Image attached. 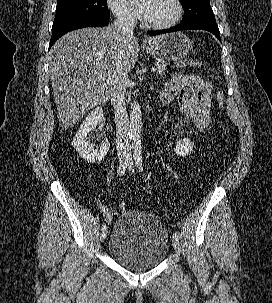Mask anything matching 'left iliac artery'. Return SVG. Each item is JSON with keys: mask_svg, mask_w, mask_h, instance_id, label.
Returning a JSON list of instances; mask_svg holds the SVG:
<instances>
[{"mask_svg": "<svg viewBox=\"0 0 272 303\" xmlns=\"http://www.w3.org/2000/svg\"><path fill=\"white\" fill-rule=\"evenodd\" d=\"M134 161L136 166L139 168L141 172H143V166H142V147L140 143H137L134 146ZM174 236L180 238L181 234L178 231L174 232Z\"/></svg>", "mask_w": 272, "mask_h": 303, "instance_id": "1", "label": "left iliac artery"}]
</instances>
